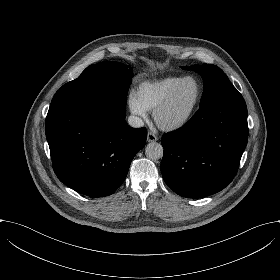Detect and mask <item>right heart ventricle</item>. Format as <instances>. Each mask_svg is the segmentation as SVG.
<instances>
[{
	"label": "right heart ventricle",
	"instance_id": "obj_1",
	"mask_svg": "<svg viewBox=\"0 0 280 280\" xmlns=\"http://www.w3.org/2000/svg\"><path fill=\"white\" fill-rule=\"evenodd\" d=\"M183 77V75H168L159 79L143 80L137 84L134 96L146 111L153 112L164 103L171 90Z\"/></svg>",
	"mask_w": 280,
	"mask_h": 280
}]
</instances>
